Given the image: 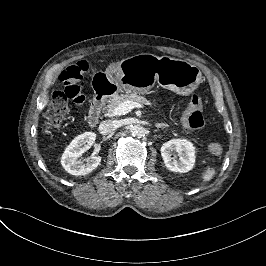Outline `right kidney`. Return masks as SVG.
Returning <instances> with one entry per match:
<instances>
[{"instance_id":"obj_1","label":"right kidney","mask_w":266,"mask_h":266,"mask_svg":"<svg viewBox=\"0 0 266 266\" xmlns=\"http://www.w3.org/2000/svg\"><path fill=\"white\" fill-rule=\"evenodd\" d=\"M95 140V133L86 132L75 137L70 145L66 148L64 153L67 154L74 162L75 176L89 174L100 164L102 159L101 156H94L88 159L84 164H77V159L94 145Z\"/></svg>"}]
</instances>
